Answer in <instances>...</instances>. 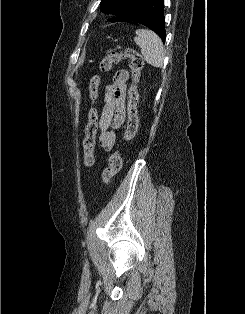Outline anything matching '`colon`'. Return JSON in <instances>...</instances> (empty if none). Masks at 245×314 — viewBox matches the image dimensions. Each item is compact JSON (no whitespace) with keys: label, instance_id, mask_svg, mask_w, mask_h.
<instances>
[{"label":"colon","instance_id":"obj_1","mask_svg":"<svg viewBox=\"0 0 245 314\" xmlns=\"http://www.w3.org/2000/svg\"><path fill=\"white\" fill-rule=\"evenodd\" d=\"M126 59L129 60L133 83L129 89L128 120L123 138L124 142L131 141L137 134L139 127V93L137 84L144 62L142 57L134 49L129 48L125 51L112 52L105 56L99 63L98 73L92 75L89 79V97L91 100V107L88 112V122L85 126V136L83 139V164L88 169L91 168L95 163L94 147L96 143V133L98 130V113L94 104L98 95V87L101 81L100 73H107L111 71L114 65ZM121 167V154L118 150H116L110 155L108 166L102 172V180L106 186L110 183L111 178L120 171Z\"/></svg>","mask_w":245,"mask_h":314}]
</instances>
